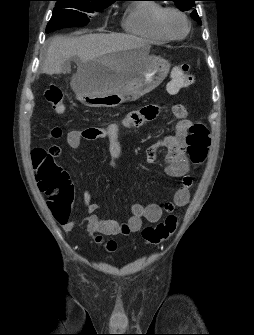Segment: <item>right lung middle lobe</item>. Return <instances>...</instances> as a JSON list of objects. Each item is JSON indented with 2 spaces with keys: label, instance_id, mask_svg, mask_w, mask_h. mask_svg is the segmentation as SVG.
<instances>
[{
  "label": "right lung middle lobe",
  "instance_id": "1",
  "mask_svg": "<svg viewBox=\"0 0 254 335\" xmlns=\"http://www.w3.org/2000/svg\"><path fill=\"white\" fill-rule=\"evenodd\" d=\"M55 1L57 2L47 25L46 33L66 27H82L89 22L88 13L100 11L112 3L98 0Z\"/></svg>",
  "mask_w": 254,
  "mask_h": 335
}]
</instances>
